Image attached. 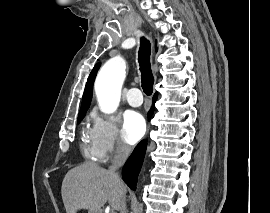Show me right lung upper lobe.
Masks as SVG:
<instances>
[{
  "label": "right lung upper lobe",
  "instance_id": "1",
  "mask_svg": "<svg viewBox=\"0 0 270 213\" xmlns=\"http://www.w3.org/2000/svg\"><path fill=\"white\" fill-rule=\"evenodd\" d=\"M99 68V64H97L93 70L91 71L88 79H87V83H86V87H85V91L83 94V100H82V105H81V109H80V113L82 112H86V110L88 109L91 99H92V88H93V82L95 79V76L97 74V70Z\"/></svg>",
  "mask_w": 270,
  "mask_h": 213
}]
</instances>
